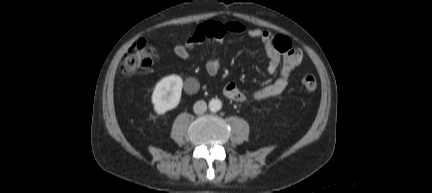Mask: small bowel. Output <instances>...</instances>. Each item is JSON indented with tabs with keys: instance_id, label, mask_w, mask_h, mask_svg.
Returning a JSON list of instances; mask_svg holds the SVG:
<instances>
[{
	"instance_id": "1",
	"label": "small bowel",
	"mask_w": 432,
	"mask_h": 193,
	"mask_svg": "<svg viewBox=\"0 0 432 193\" xmlns=\"http://www.w3.org/2000/svg\"><path fill=\"white\" fill-rule=\"evenodd\" d=\"M220 27L226 33L246 34L250 38L259 40L264 45L268 58L267 71L274 74L281 66L279 77L270 84L260 86L251 92V97L256 100L275 97L284 92L290 84V73L302 62V51L300 48L293 46L291 40L283 35H274L267 30L259 28H248L242 23L229 21L226 23L207 22L200 25L195 33L184 43L177 44L174 47L176 56L182 60L190 57L203 37L214 28ZM206 72L210 76H215L220 70V61L216 57H211L205 66ZM199 89V83L194 78H189L185 82V91L188 94H194ZM223 94L236 102H244L247 95L241 91L236 84L230 82L224 89Z\"/></svg>"
}]
</instances>
